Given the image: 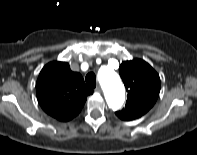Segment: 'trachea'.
I'll return each mask as SVG.
<instances>
[{
	"mask_svg": "<svg viewBox=\"0 0 197 155\" xmlns=\"http://www.w3.org/2000/svg\"><path fill=\"white\" fill-rule=\"evenodd\" d=\"M85 81L91 88H95L96 87V76H95V74L93 72H89L86 75Z\"/></svg>",
	"mask_w": 197,
	"mask_h": 155,
	"instance_id": "obj_1",
	"label": "trachea"
}]
</instances>
